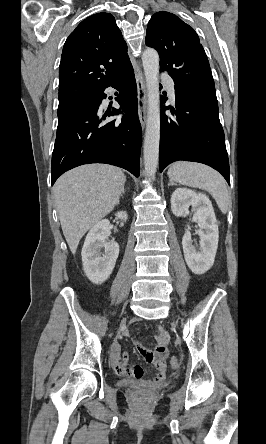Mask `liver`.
Segmentation results:
<instances>
[{"label": "liver", "mask_w": 266, "mask_h": 444, "mask_svg": "<svg viewBox=\"0 0 266 444\" xmlns=\"http://www.w3.org/2000/svg\"><path fill=\"white\" fill-rule=\"evenodd\" d=\"M125 181L120 168L106 164L77 167L56 181L54 199L72 254L83 235L113 210Z\"/></svg>", "instance_id": "obj_1"}]
</instances>
